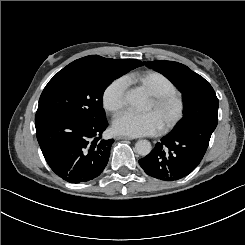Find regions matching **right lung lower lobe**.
I'll use <instances>...</instances> for the list:
<instances>
[{
    "instance_id": "right-lung-lower-lobe-1",
    "label": "right lung lower lobe",
    "mask_w": 245,
    "mask_h": 245,
    "mask_svg": "<svg viewBox=\"0 0 245 245\" xmlns=\"http://www.w3.org/2000/svg\"><path fill=\"white\" fill-rule=\"evenodd\" d=\"M106 119L89 122L71 117L35 121L36 136L52 171L70 183L98 177L109 160L112 139H101Z\"/></svg>"
}]
</instances>
